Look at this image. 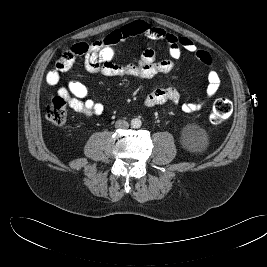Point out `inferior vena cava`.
Here are the masks:
<instances>
[{"mask_svg":"<svg viewBox=\"0 0 267 267\" xmlns=\"http://www.w3.org/2000/svg\"><path fill=\"white\" fill-rule=\"evenodd\" d=\"M129 127V124L125 120H118L115 123V128L117 129H127Z\"/></svg>","mask_w":267,"mask_h":267,"instance_id":"602c4592","label":"inferior vena cava"}]
</instances>
